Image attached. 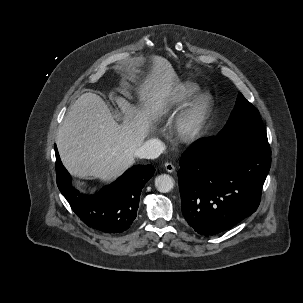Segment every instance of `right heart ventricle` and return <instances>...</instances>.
<instances>
[{
	"instance_id": "right-heart-ventricle-1",
	"label": "right heart ventricle",
	"mask_w": 303,
	"mask_h": 303,
	"mask_svg": "<svg viewBox=\"0 0 303 303\" xmlns=\"http://www.w3.org/2000/svg\"><path fill=\"white\" fill-rule=\"evenodd\" d=\"M199 90L198 86L191 82L181 83L176 87L167 100L168 107L183 105L188 102Z\"/></svg>"
}]
</instances>
